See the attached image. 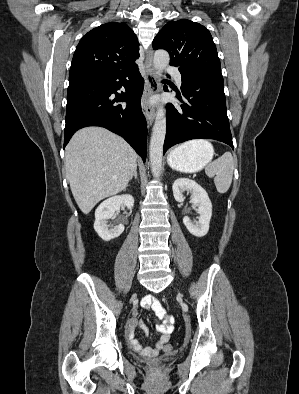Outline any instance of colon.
<instances>
[{"label": "colon", "mask_w": 299, "mask_h": 394, "mask_svg": "<svg viewBox=\"0 0 299 394\" xmlns=\"http://www.w3.org/2000/svg\"><path fill=\"white\" fill-rule=\"evenodd\" d=\"M167 349H170V346H167Z\"/></svg>", "instance_id": "obj_1"}]
</instances>
